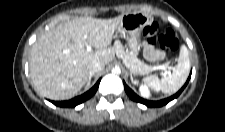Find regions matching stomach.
Returning <instances> with one entry per match:
<instances>
[{
  "instance_id": "0dacf381",
  "label": "stomach",
  "mask_w": 225,
  "mask_h": 132,
  "mask_svg": "<svg viewBox=\"0 0 225 132\" xmlns=\"http://www.w3.org/2000/svg\"><path fill=\"white\" fill-rule=\"evenodd\" d=\"M149 22V16L139 12L125 14L122 18L118 32L126 35L128 45L134 54H137L139 50L140 31Z\"/></svg>"
}]
</instances>
